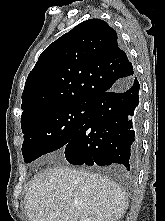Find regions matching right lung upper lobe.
Segmentation results:
<instances>
[{"label":"right lung upper lobe","mask_w":165,"mask_h":221,"mask_svg":"<svg viewBox=\"0 0 165 221\" xmlns=\"http://www.w3.org/2000/svg\"><path fill=\"white\" fill-rule=\"evenodd\" d=\"M133 77L116 31L101 19L84 21L39 56L22 94L21 122L52 108L90 104Z\"/></svg>","instance_id":"right-lung-upper-lobe-1"}]
</instances>
